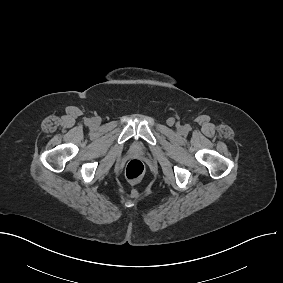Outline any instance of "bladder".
<instances>
[{"instance_id":"obj_1","label":"bladder","mask_w":283,"mask_h":283,"mask_svg":"<svg viewBox=\"0 0 283 283\" xmlns=\"http://www.w3.org/2000/svg\"><path fill=\"white\" fill-rule=\"evenodd\" d=\"M135 149L136 150H141V147L140 146H136Z\"/></svg>"}]
</instances>
